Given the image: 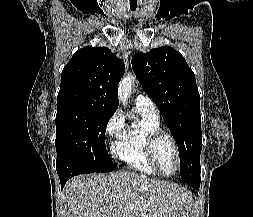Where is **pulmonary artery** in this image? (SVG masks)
Masks as SVG:
<instances>
[{
  "instance_id": "obj_1",
  "label": "pulmonary artery",
  "mask_w": 253,
  "mask_h": 217,
  "mask_svg": "<svg viewBox=\"0 0 253 217\" xmlns=\"http://www.w3.org/2000/svg\"><path fill=\"white\" fill-rule=\"evenodd\" d=\"M136 108L148 111L152 115L159 116V111L151 98L144 94H139L135 99Z\"/></svg>"
}]
</instances>
